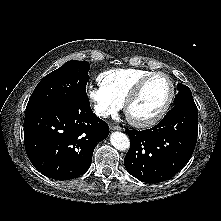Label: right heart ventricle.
<instances>
[{"mask_svg":"<svg viewBox=\"0 0 221 221\" xmlns=\"http://www.w3.org/2000/svg\"><path fill=\"white\" fill-rule=\"evenodd\" d=\"M151 72L140 68H116L101 73L98 82L110 96L123 104L135 84Z\"/></svg>","mask_w":221,"mask_h":221,"instance_id":"e07e8e85","label":"right heart ventricle"}]
</instances>
